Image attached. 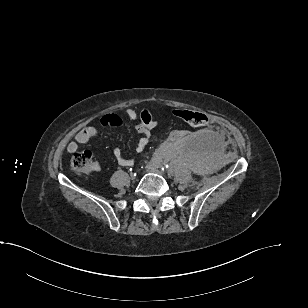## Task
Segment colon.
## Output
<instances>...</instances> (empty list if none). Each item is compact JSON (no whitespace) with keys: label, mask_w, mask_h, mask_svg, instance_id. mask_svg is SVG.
Wrapping results in <instances>:
<instances>
[{"label":"colon","mask_w":308,"mask_h":308,"mask_svg":"<svg viewBox=\"0 0 308 308\" xmlns=\"http://www.w3.org/2000/svg\"><path fill=\"white\" fill-rule=\"evenodd\" d=\"M173 114L194 128L203 127L208 124L207 116L201 112L176 109L173 111ZM70 165L71 168L79 174L88 173L92 166V157L90 152L81 151L72 153Z\"/></svg>","instance_id":"5ec220e1"}]
</instances>
